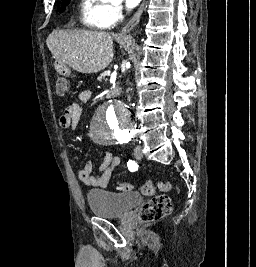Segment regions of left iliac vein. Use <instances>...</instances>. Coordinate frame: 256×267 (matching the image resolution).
<instances>
[{"instance_id": "obj_1", "label": "left iliac vein", "mask_w": 256, "mask_h": 267, "mask_svg": "<svg viewBox=\"0 0 256 267\" xmlns=\"http://www.w3.org/2000/svg\"><path fill=\"white\" fill-rule=\"evenodd\" d=\"M134 156L137 160H140L143 158V153L141 150V146L137 145L134 149Z\"/></svg>"}]
</instances>
